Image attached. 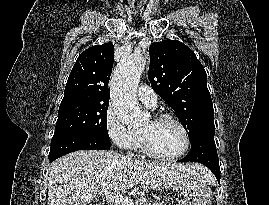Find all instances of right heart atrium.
<instances>
[{
  "mask_svg": "<svg viewBox=\"0 0 269 205\" xmlns=\"http://www.w3.org/2000/svg\"><path fill=\"white\" fill-rule=\"evenodd\" d=\"M105 131L109 139L124 150H135L140 142V137L125 127L113 108H109L105 114Z\"/></svg>",
  "mask_w": 269,
  "mask_h": 205,
  "instance_id": "right-heart-atrium-1",
  "label": "right heart atrium"
}]
</instances>
